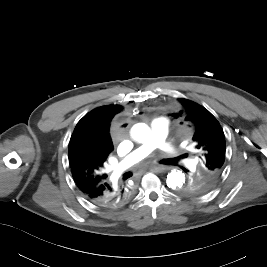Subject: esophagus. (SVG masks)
Returning a JSON list of instances; mask_svg holds the SVG:
<instances>
[{
	"instance_id": "obj_1",
	"label": "esophagus",
	"mask_w": 267,
	"mask_h": 267,
	"mask_svg": "<svg viewBox=\"0 0 267 267\" xmlns=\"http://www.w3.org/2000/svg\"><path fill=\"white\" fill-rule=\"evenodd\" d=\"M167 169V167L163 166V165H155L151 167L152 171L158 172V173H162Z\"/></svg>"
}]
</instances>
